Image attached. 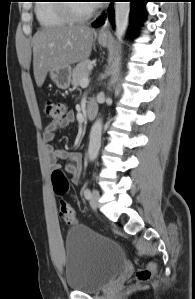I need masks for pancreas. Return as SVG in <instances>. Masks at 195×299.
I'll use <instances>...</instances> for the list:
<instances>
[{
    "mask_svg": "<svg viewBox=\"0 0 195 299\" xmlns=\"http://www.w3.org/2000/svg\"><path fill=\"white\" fill-rule=\"evenodd\" d=\"M91 61L86 59L76 65L72 72V85L78 87L83 78L90 73Z\"/></svg>",
    "mask_w": 195,
    "mask_h": 299,
    "instance_id": "obj_1",
    "label": "pancreas"
}]
</instances>
